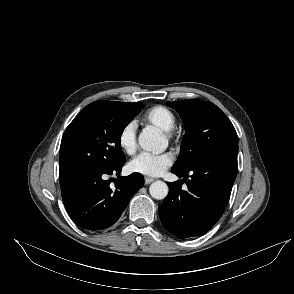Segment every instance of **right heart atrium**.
Returning a JSON list of instances; mask_svg holds the SVG:
<instances>
[{"instance_id": "right-heart-atrium-1", "label": "right heart atrium", "mask_w": 294, "mask_h": 294, "mask_svg": "<svg viewBox=\"0 0 294 294\" xmlns=\"http://www.w3.org/2000/svg\"><path fill=\"white\" fill-rule=\"evenodd\" d=\"M120 149L126 154H133L137 148V127L134 121L126 123L117 137Z\"/></svg>"}]
</instances>
